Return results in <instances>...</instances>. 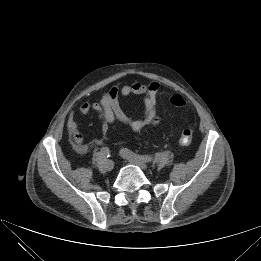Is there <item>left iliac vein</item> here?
Instances as JSON below:
<instances>
[{"instance_id": "obj_1", "label": "left iliac vein", "mask_w": 261, "mask_h": 261, "mask_svg": "<svg viewBox=\"0 0 261 261\" xmlns=\"http://www.w3.org/2000/svg\"><path fill=\"white\" fill-rule=\"evenodd\" d=\"M121 156L131 164L137 165L142 169L147 168V165L143 160L130 158L126 154H124L122 151H121Z\"/></svg>"}]
</instances>
